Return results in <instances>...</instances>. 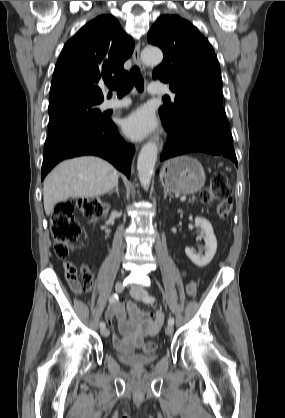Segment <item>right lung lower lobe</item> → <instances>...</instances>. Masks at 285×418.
Listing matches in <instances>:
<instances>
[{
  "label": "right lung lower lobe",
  "instance_id": "1",
  "mask_svg": "<svg viewBox=\"0 0 285 418\" xmlns=\"http://www.w3.org/2000/svg\"><path fill=\"white\" fill-rule=\"evenodd\" d=\"M134 152L110 119L103 124L73 126L46 139L41 179L60 161L82 155L104 158L129 178Z\"/></svg>",
  "mask_w": 285,
  "mask_h": 418
}]
</instances>
